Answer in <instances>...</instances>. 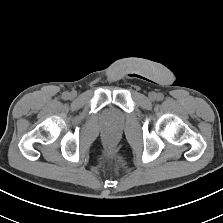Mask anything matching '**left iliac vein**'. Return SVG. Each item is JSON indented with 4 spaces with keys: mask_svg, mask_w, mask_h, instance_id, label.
<instances>
[{
    "mask_svg": "<svg viewBox=\"0 0 223 223\" xmlns=\"http://www.w3.org/2000/svg\"><path fill=\"white\" fill-rule=\"evenodd\" d=\"M156 97H157V94L155 92H150L149 93V99L151 101H154L156 99Z\"/></svg>",
    "mask_w": 223,
    "mask_h": 223,
    "instance_id": "4c4485c4",
    "label": "left iliac vein"
}]
</instances>
